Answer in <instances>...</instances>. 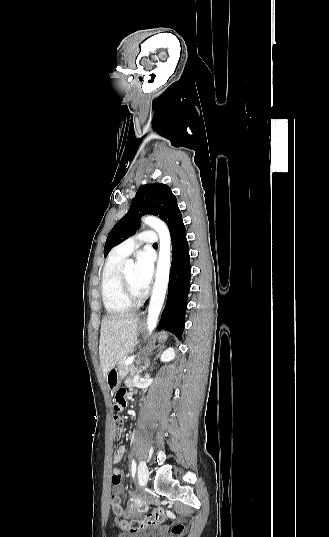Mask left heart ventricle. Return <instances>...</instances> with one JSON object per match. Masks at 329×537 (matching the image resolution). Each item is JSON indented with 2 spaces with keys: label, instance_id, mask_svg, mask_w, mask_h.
<instances>
[{
  "label": "left heart ventricle",
  "instance_id": "left-heart-ventricle-1",
  "mask_svg": "<svg viewBox=\"0 0 329 537\" xmlns=\"http://www.w3.org/2000/svg\"><path fill=\"white\" fill-rule=\"evenodd\" d=\"M124 274L132 293L135 295H141L143 292L138 288L135 281V266L130 265L126 267L124 269Z\"/></svg>",
  "mask_w": 329,
  "mask_h": 537
}]
</instances>
